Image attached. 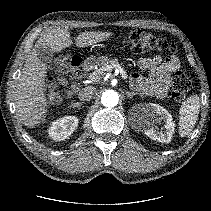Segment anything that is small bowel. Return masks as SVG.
Segmentation results:
<instances>
[{
	"instance_id": "1",
	"label": "small bowel",
	"mask_w": 211,
	"mask_h": 211,
	"mask_svg": "<svg viewBox=\"0 0 211 211\" xmlns=\"http://www.w3.org/2000/svg\"><path fill=\"white\" fill-rule=\"evenodd\" d=\"M138 66L148 71V76L143 77L134 73L132 75L133 86L143 94L163 98L170 86V75L180 67V63L174 56L163 59L160 55H154L141 57L138 60Z\"/></svg>"
}]
</instances>
